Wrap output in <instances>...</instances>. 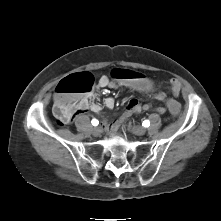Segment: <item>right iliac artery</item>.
<instances>
[{
    "label": "right iliac artery",
    "instance_id": "82829eb1",
    "mask_svg": "<svg viewBox=\"0 0 221 221\" xmlns=\"http://www.w3.org/2000/svg\"><path fill=\"white\" fill-rule=\"evenodd\" d=\"M91 123H92L93 126H97V125L99 124V122H98L97 119H93V120L91 121Z\"/></svg>",
    "mask_w": 221,
    "mask_h": 221
}]
</instances>
